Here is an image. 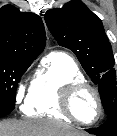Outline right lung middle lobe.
Listing matches in <instances>:
<instances>
[{
	"mask_svg": "<svg viewBox=\"0 0 117 136\" xmlns=\"http://www.w3.org/2000/svg\"><path fill=\"white\" fill-rule=\"evenodd\" d=\"M32 61L0 57V102L15 105L17 84Z\"/></svg>",
	"mask_w": 117,
	"mask_h": 136,
	"instance_id": "obj_1",
	"label": "right lung middle lobe"
}]
</instances>
